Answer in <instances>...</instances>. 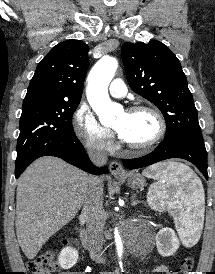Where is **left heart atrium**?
Masks as SVG:
<instances>
[{
  "label": "left heart atrium",
  "mask_w": 215,
  "mask_h": 274,
  "mask_svg": "<svg viewBox=\"0 0 215 274\" xmlns=\"http://www.w3.org/2000/svg\"><path fill=\"white\" fill-rule=\"evenodd\" d=\"M118 134L120 135V137L122 138V134L120 130H117Z\"/></svg>",
  "instance_id": "1"
}]
</instances>
